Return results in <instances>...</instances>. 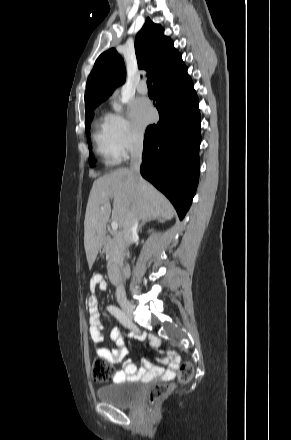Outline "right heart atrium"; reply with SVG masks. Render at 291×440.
Returning a JSON list of instances; mask_svg holds the SVG:
<instances>
[{"mask_svg":"<svg viewBox=\"0 0 291 440\" xmlns=\"http://www.w3.org/2000/svg\"><path fill=\"white\" fill-rule=\"evenodd\" d=\"M105 118L112 147L120 158L126 157L142 143V133L125 116L110 113Z\"/></svg>","mask_w":291,"mask_h":440,"instance_id":"d8ad5b80","label":"right heart atrium"}]
</instances>
